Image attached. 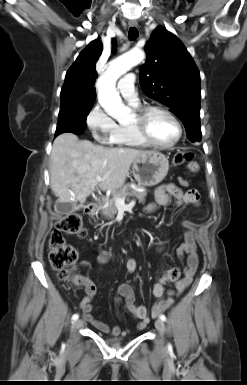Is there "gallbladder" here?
<instances>
[{
	"mask_svg": "<svg viewBox=\"0 0 247 385\" xmlns=\"http://www.w3.org/2000/svg\"><path fill=\"white\" fill-rule=\"evenodd\" d=\"M82 207H84L83 203H80V204H78L76 202L63 203V202H60L58 200L55 203V211L61 215L71 214Z\"/></svg>",
	"mask_w": 247,
	"mask_h": 385,
	"instance_id": "gallbladder-1",
	"label": "gallbladder"
}]
</instances>
